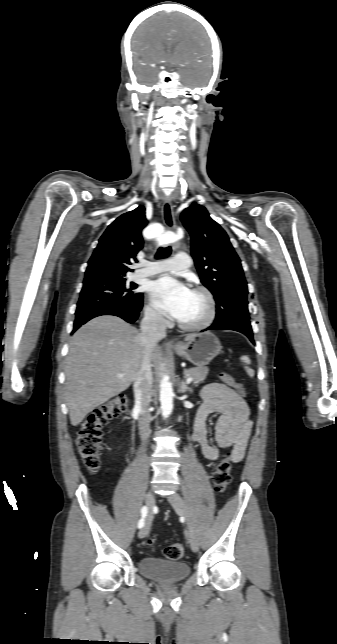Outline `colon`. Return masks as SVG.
Segmentation results:
<instances>
[{
	"label": "colon",
	"mask_w": 337,
	"mask_h": 644,
	"mask_svg": "<svg viewBox=\"0 0 337 644\" xmlns=\"http://www.w3.org/2000/svg\"><path fill=\"white\" fill-rule=\"evenodd\" d=\"M220 378L225 384L244 394V387L232 375L227 372H221ZM127 405V397L123 394L117 395L92 410L80 424L76 437V447L83 463L90 472H96L100 466L103 427L110 419L123 414L127 410ZM230 471L231 455L228 454L217 464L213 473V481L217 492L224 493L226 491L231 481ZM147 543L152 546L154 538L148 539ZM164 554L167 559L176 561L183 557L184 548L181 544L174 543L165 548Z\"/></svg>",
	"instance_id": "5ec220e1"
}]
</instances>
